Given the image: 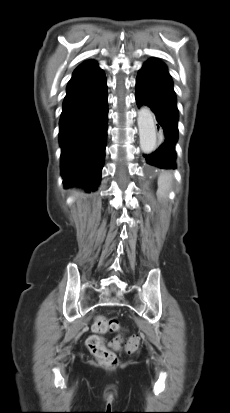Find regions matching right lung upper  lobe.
Wrapping results in <instances>:
<instances>
[{
    "mask_svg": "<svg viewBox=\"0 0 230 413\" xmlns=\"http://www.w3.org/2000/svg\"><path fill=\"white\" fill-rule=\"evenodd\" d=\"M96 67L97 63L94 60L85 61L74 71L73 76Z\"/></svg>",
    "mask_w": 230,
    "mask_h": 413,
    "instance_id": "obj_1",
    "label": "right lung upper lobe"
}]
</instances>
